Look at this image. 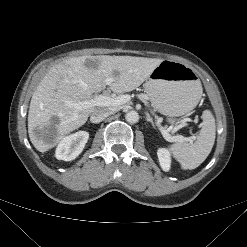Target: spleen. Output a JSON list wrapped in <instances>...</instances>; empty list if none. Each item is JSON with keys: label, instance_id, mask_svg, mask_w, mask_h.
Here are the masks:
<instances>
[{"label": "spleen", "instance_id": "3e777b00", "mask_svg": "<svg viewBox=\"0 0 247 247\" xmlns=\"http://www.w3.org/2000/svg\"><path fill=\"white\" fill-rule=\"evenodd\" d=\"M202 118V128L195 143H175L170 146L174 158L184 170L200 166L213 148L216 135L215 118L210 110H205Z\"/></svg>", "mask_w": 247, "mask_h": 247}]
</instances>
